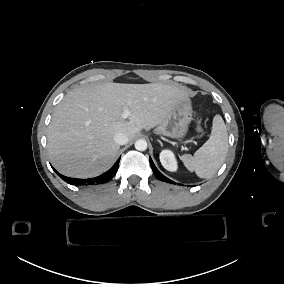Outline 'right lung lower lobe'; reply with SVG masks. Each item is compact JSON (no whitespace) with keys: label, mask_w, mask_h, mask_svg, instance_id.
Returning <instances> with one entry per match:
<instances>
[{"label":"right lung lower lobe","mask_w":284,"mask_h":284,"mask_svg":"<svg viewBox=\"0 0 284 284\" xmlns=\"http://www.w3.org/2000/svg\"><path fill=\"white\" fill-rule=\"evenodd\" d=\"M119 161L120 158L116 161V163L112 166L111 169H109L107 172L103 173L102 175L95 177V178H91V179H75V178H69V177H65L63 175H61L60 173H58L54 168L53 170L67 183L72 184V185H97V184H101V183H106L109 180H111L117 170H118V166H119Z\"/></svg>","instance_id":"right-lung-lower-lobe-1"}]
</instances>
